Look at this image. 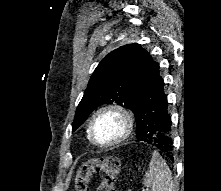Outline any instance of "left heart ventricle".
I'll return each instance as SVG.
<instances>
[{
	"instance_id": "obj_1",
	"label": "left heart ventricle",
	"mask_w": 221,
	"mask_h": 191,
	"mask_svg": "<svg viewBox=\"0 0 221 191\" xmlns=\"http://www.w3.org/2000/svg\"><path fill=\"white\" fill-rule=\"evenodd\" d=\"M121 119L114 114H105L97 119L94 125V137L100 143L116 139L122 132Z\"/></svg>"
}]
</instances>
